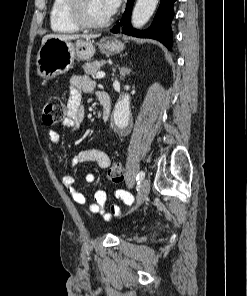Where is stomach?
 <instances>
[{"mask_svg":"<svg viewBox=\"0 0 247 296\" xmlns=\"http://www.w3.org/2000/svg\"><path fill=\"white\" fill-rule=\"evenodd\" d=\"M98 47L104 54L119 53L124 44L112 37H104ZM95 54V47L90 40H77L75 43L58 38L45 41L37 54V74L45 80L66 73L77 57L81 60H90Z\"/></svg>","mask_w":247,"mask_h":296,"instance_id":"obj_1","label":"stomach"}]
</instances>
